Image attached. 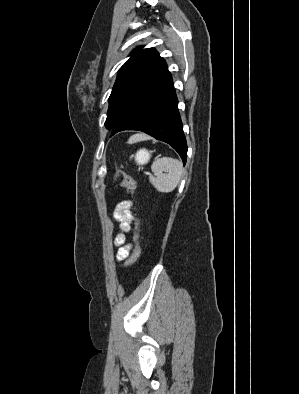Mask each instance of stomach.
Segmentation results:
<instances>
[{
	"instance_id": "obj_1",
	"label": "stomach",
	"mask_w": 299,
	"mask_h": 394,
	"mask_svg": "<svg viewBox=\"0 0 299 394\" xmlns=\"http://www.w3.org/2000/svg\"><path fill=\"white\" fill-rule=\"evenodd\" d=\"M150 158V153L146 149H141L137 152L135 160L138 164L146 163Z\"/></svg>"
}]
</instances>
